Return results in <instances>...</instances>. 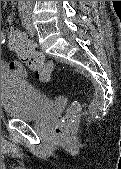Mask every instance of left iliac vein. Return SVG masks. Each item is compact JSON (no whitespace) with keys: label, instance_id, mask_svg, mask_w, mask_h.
Wrapping results in <instances>:
<instances>
[{"label":"left iliac vein","instance_id":"left-iliac-vein-1","mask_svg":"<svg viewBox=\"0 0 121 169\" xmlns=\"http://www.w3.org/2000/svg\"><path fill=\"white\" fill-rule=\"evenodd\" d=\"M26 30H27V32H28V34L30 36H34L35 33H36L35 28H34V26L32 24L30 16L26 17Z\"/></svg>","mask_w":121,"mask_h":169}]
</instances>
